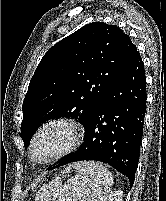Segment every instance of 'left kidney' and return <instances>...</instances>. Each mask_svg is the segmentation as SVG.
<instances>
[{"label": "left kidney", "instance_id": "obj_1", "mask_svg": "<svg viewBox=\"0 0 166 201\" xmlns=\"http://www.w3.org/2000/svg\"><path fill=\"white\" fill-rule=\"evenodd\" d=\"M123 192L118 190L114 193L109 194L107 197L103 199V201H123Z\"/></svg>", "mask_w": 166, "mask_h": 201}]
</instances>
